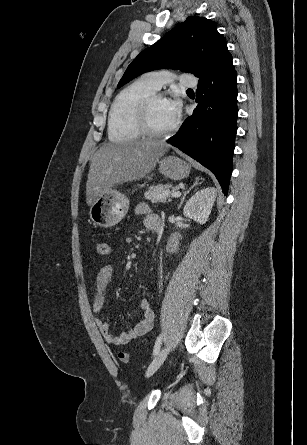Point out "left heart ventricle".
I'll list each match as a JSON object with an SVG mask.
<instances>
[{"label": "left heart ventricle", "mask_w": 307, "mask_h": 445, "mask_svg": "<svg viewBox=\"0 0 307 445\" xmlns=\"http://www.w3.org/2000/svg\"><path fill=\"white\" fill-rule=\"evenodd\" d=\"M150 121L152 126L159 131L169 129L175 120L168 115L164 99H157L150 109Z\"/></svg>", "instance_id": "1"}]
</instances>
